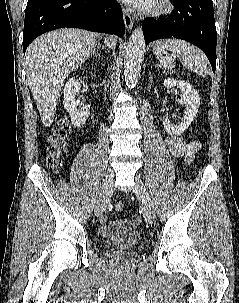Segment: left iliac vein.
I'll use <instances>...</instances> for the list:
<instances>
[{"instance_id":"4c4485c4","label":"left iliac vein","mask_w":239,"mask_h":303,"mask_svg":"<svg viewBox=\"0 0 239 303\" xmlns=\"http://www.w3.org/2000/svg\"><path fill=\"white\" fill-rule=\"evenodd\" d=\"M136 184L133 187L135 195L142 201L144 206V219L148 224H153L155 221V210L152 200L147 192V189L140 179V177L135 178Z\"/></svg>"}]
</instances>
